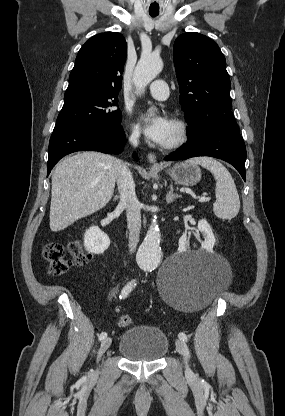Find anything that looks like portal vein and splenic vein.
<instances>
[{"label":"portal vein and splenic vein","mask_w":285,"mask_h":416,"mask_svg":"<svg viewBox=\"0 0 285 416\" xmlns=\"http://www.w3.org/2000/svg\"><path fill=\"white\" fill-rule=\"evenodd\" d=\"M211 198H206V194H203V198H199L198 202H209Z\"/></svg>","instance_id":"portal-vein-and-splenic-vein-1"}]
</instances>
